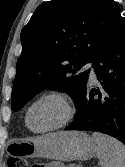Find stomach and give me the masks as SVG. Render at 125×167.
I'll return each mask as SVG.
<instances>
[{
    "mask_svg": "<svg viewBox=\"0 0 125 167\" xmlns=\"http://www.w3.org/2000/svg\"><path fill=\"white\" fill-rule=\"evenodd\" d=\"M14 154L26 158L41 157L57 161L88 160L97 149L95 140L80 131L55 132L37 138L13 142Z\"/></svg>",
    "mask_w": 125,
    "mask_h": 167,
    "instance_id": "obj_1",
    "label": "stomach"
}]
</instances>
